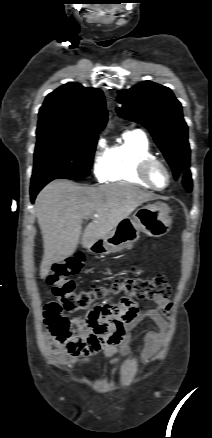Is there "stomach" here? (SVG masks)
Instances as JSON below:
<instances>
[{
    "label": "stomach",
    "mask_w": 212,
    "mask_h": 438,
    "mask_svg": "<svg viewBox=\"0 0 212 438\" xmlns=\"http://www.w3.org/2000/svg\"><path fill=\"white\" fill-rule=\"evenodd\" d=\"M171 212L167 204L157 201L139 208L130 219L122 220L102 239L105 253L119 252L139 238V232L151 237H162L172 228Z\"/></svg>",
    "instance_id": "obj_1"
}]
</instances>
